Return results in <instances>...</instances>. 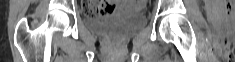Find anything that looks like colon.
I'll return each mask as SVG.
<instances>
[{"label": "colon", "instance_id": "1", "mask_svg": "<svg viewBox=\"0 0 235 62\" xmlns=\"http://www.w3.org/2000/svg\"><path fill=\"white\" fill-rule=\"evenodd\" d=\"M145 1L143 0H139L138 4L140 8H143ZM89 13L93 14V15H101L103 13V9L99 6H97L96 8H87Z\"/></svg>", "mask_w": 235, "mask_h": 62}]
</instances>
